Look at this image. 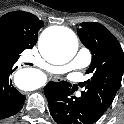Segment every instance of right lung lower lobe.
I'll use <instances>...</instances> for the list:
<instances>
[{
    "instance_id": "1",
    "label": "right lung lower lobe",
    "mask_w": 124,
    "mask_h": 124,
    "mask_svg": "<svg viewBox=\"0 0 124 124\" xmlns=\"http://www.w3.org/2000/svg\"><path fill=\"white\" fill-rule=\"evenodd\" d=\"M16 68L14 63H0V119L18 113L25 101V96L14 88L10 79Z\"/></svg>"
}]
</instances>
